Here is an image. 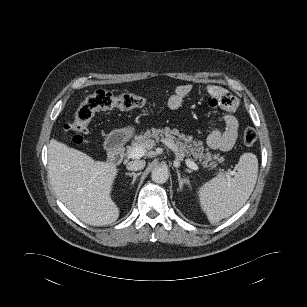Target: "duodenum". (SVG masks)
Here are the masks:
<instances>
[{"label":"duodenum","instance_id":"obj_1","mask_svg":"<svg viewBox=\"0 0 307 307\" xmlns=\"http://www.w3.org/2000/svg\"><path fill=\"white\" fill-rule=\"evenodd\" d=\"M107 160L111 164H119L124 157L125 139L122 133H116L110 136L106 143Z\"/></svg>","mask_w":307,"mask_h":307}]
</instances>
